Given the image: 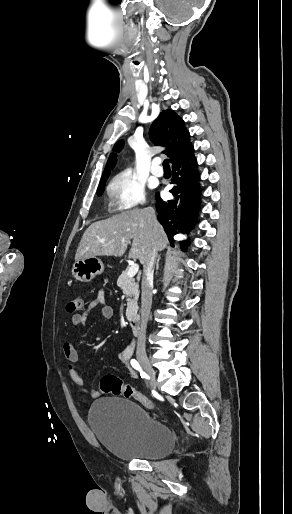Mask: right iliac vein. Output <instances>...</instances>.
I'll return each mask as SVG.
<instances>
[{"label":"right iliac vein","mask_w":292,"mask_h":514,"mask_svg":"<svg viewBox=\"0 0 292 514\" xmlns=\"http://www.w3.org/2000/svg\"><path fill=\"white\" fill-rule=\"evenodd\" d=\"M138 361L141 364V366L145 369V371L147 372V374L149 376L151 387L153 389H156L157 383H156V378H155V372H154L153 368L151 367L148 358L144 355H140L138 357Z\"/></svg>","instance_id":"obj_1"}]
</instances>
